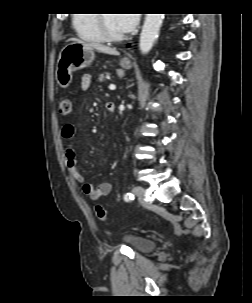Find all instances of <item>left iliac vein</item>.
I'll use <instances>...</instances> for the list:
<instances>
[{
	"label": "left iliac vein",
	"mask_w": 252,
	"mask_h": 303,
	"mask_svg": "<svg viewBox=\"0 0 252 303\" xmlns=\"http://www.w3.org/2000/svg\"><path fill=\"white\" fill-rule=\"evenodd\" d=\"M133 193L138 196V198L140 199L142 204H145L144 200L142 199V197L144 196L145 190L142 187H134L133 189Z\"/></svg>",
	"instance_id": "obj_1"
}]
</instances>
